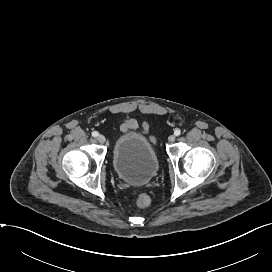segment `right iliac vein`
Wrapping results in <instances>:
<instances>
[{"instance_id": "63e3f726", "label": "right iliac vein", "mask_w": 272, "mask_h": 272, "mask_svg": "<svg viewBox=\"0 0 272 272\" xmlns=\"http://www.w3.org/2000/svg\"><path fill=\"white\" fill-rule=\"evenodd\" d=\"M97 140L100 142V143H104L106 141L105 137L103 135H98L97 137Z\"/></svg>"}]
</instances>
